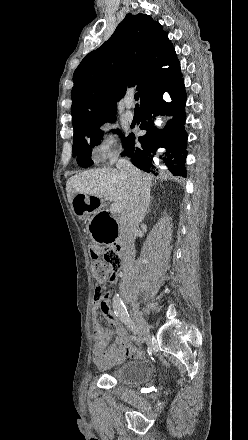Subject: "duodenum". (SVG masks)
<instances>
[{
	"label": "duodenum",
	"instance_id": "410a0bca",
	"mask_svg": "<svg viewBox=\"0 0 248 440\" xmlns=\"http://www.w3.org/2000/svg\"><path fill=\"white\" fill-rule=\"evenodd\" d=\"M114 247H115L116 252L120 256H122L123 258L126 257L125 246H124V243H123V241L121 239H119V241H115ZM118 275H122V271L118 272Z\"/></svg>",
	"mask_w": 248,
	"mask_h": 440
}]
</instances>
